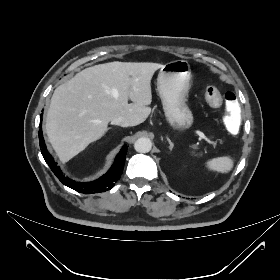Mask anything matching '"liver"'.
Masks as SVG:
<instances>
[{
    "instance_id": "obj_1",
    "label": "liver",
    "mask_w": 280,
    "mask_h": 280,
    "mask_svg": "<svg viewBox=\"0 0 280 280\" xmlns=\"http://www.w3.org/2000/svg\"><path fill=\"white\" fill-rule=\"evenodd\" d=\"M162 66L114 61L86 68L58 86L45 129L59 158L68 161L100 139L115 118H126L130 126L143 123L151 113V79Z\"/></svg>"
}]
</instances>
